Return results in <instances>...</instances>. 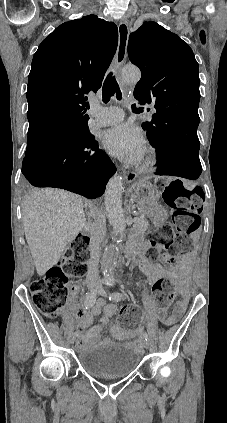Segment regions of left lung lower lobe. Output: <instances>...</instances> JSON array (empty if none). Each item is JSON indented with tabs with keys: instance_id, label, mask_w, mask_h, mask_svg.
<instances>
[{
	"instance_id": "obj_1",
	"label": "left lung lower lobe",
	"mask_w": 227,
	"mask_h": 423,
	"mask_svg": "<svg viewBox=\"0 0 227 423\" xmlns=\"http://www.w3.org/2000/svg\"><path fill=\"white\" fill-rule=\"evenodd\" d=\"M199 122L187 120L169 132H156L150 140L158 152V175H173L198 179L202 172L199 160L200 143L197 136Z\"/></svg>"
}]
</instances>
